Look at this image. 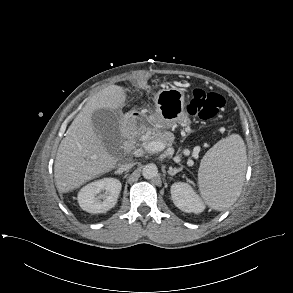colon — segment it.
Here are the masks:
<instances>
[{
    "instance_id": "1",
    "label": "colon",
    "mask_w": 293,
    "mask_h": 293,
    "mask_svg": "<svg viewBox=\"0 0 293 293\" xmlns=\"http://www.w3.org/2000/svg\"><path fill=\"white\" fill-rule=\"evenodd\" d=\"M225 106V99L218 93L195 88L187 102L186 110L202 120H214Z\"/></svg>"
}]
</instances>
